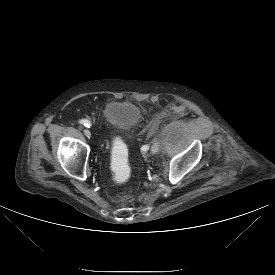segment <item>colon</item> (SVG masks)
I'll return each instance as SVG.
<instances>
[{
	"mask_svg": "<svg viewBox=\"0 0 275 275\" xmlns=\"http://www.w3.org/2000/svg\"><path fill=\"white\" fill-rule=\"evenodd\" d=\"M111 171L113 179L117 183L127 181L131 175V166L126 148L123 145L116 147L115 155L111 163Z\"/></svg>",
	"mask_w": 275,
	"mask_h": 275,
	"instance_id": "1",
	"label": "colon"
}]
</instances>
